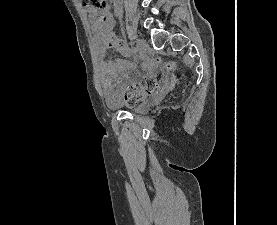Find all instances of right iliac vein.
<instances>
[{
	"instance_id": "1",
	"label": "right iliac vein",
	"mask_w": 277,
	"mask_h": 225,
	"mask_svg": "<svg viewBox=\"0 0 277 225\" xmlns=\"http://www.w3.org/2000/svg\"><path fill=\"white\" fill-rule=\"evenodd\" d=\"M136 44H137V48H138L140 55L144 56V54L146 53V51L148 49V44L146 43V41L144 39H141V38L137 39Z\"/></svg>"
}]
</instances>
